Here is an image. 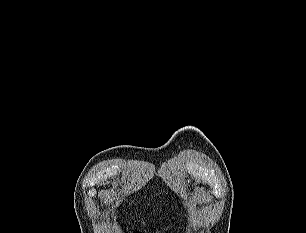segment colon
<instances>
[{
	"mask_svg": "<svg viewBox=\"0 0 306 233\" xmlns=\"http://www.w3.org/2000/svg\"><path fill=\"white\" fill-rule=\"evenodd\" d=\"M133 233H139V232H137V231H134Z\"/></svg>",
	"mask_w": 306,
	"mask_h": 233,
	"instance_id": "5ec220e1",
	"label": "colon"
}]
</instances>
